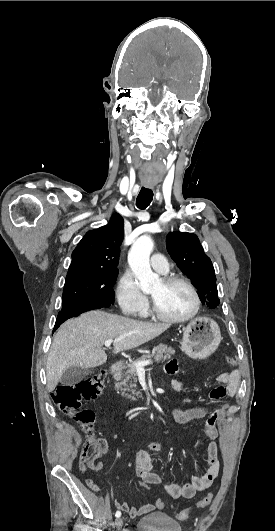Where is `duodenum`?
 <instances>
[{
	"mask_svg": "<svg viewBox=\"0 0 275 531\" xmlns=\"http://www.w3.org/2000/svg\"><path fill=\"white\" fill-rule=\"evenodd\" d=\"M123 365H124V361L123 360L117 361L114 365H112L110 367V372L111 373L119 372V370L123 367Z\"/></svg>",
	"mask_w": 275,
	"mask_h": 531,
	"instance_id": "1",
	"label": "duodenum"
}]
</instances>
